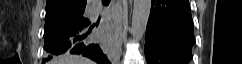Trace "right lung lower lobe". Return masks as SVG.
I'll list each match as a JSON object with an SVG mask.
<instances>
[{
	"label": "right lung lower lobe",
	"instance_id": "right-lung-lower-lobe-1",
	"mask_svg": "<svg viewBox=\"0 0 242 64\" xmlns=\"http://www.w3.org/2000/svg\"><path fill=\"white\" fill-rule=\"evenodd\" d=\"M95 23L73 26L69 29L54 33L45 40V56L42 64L53 56L70 52L92 59L98 64H110L108 57L103 53L100 45L89 35Z\"/></svg>",
	"mask_w": 242,
	"mask_h": 64
}]
</instances>
